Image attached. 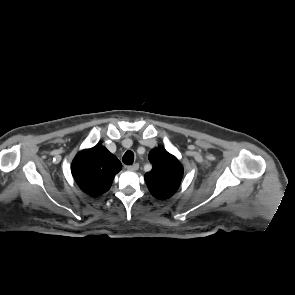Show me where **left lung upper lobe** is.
Returning <instances> with one entry per match:
<instances>
[{
  "label": "left lung upper lobe",
  "mask_w": 295,
  "mask_h": 295,
  "mask_svg": "<svg viewBox=\"0 0 295 295\" xmlns=\"http://www.w3.org/2000/svg\"><path fill=\"white\" fill-rule=\"evenodd\" d=\"M149 161L153 168L144 177L149 191L157 199L170 198L181 184L183 166L162 147L150 151Z\"/></svg>",
  "instance_id": "1"
}]
</instances>
